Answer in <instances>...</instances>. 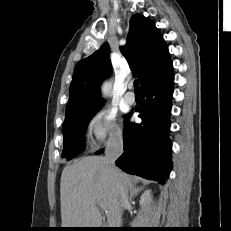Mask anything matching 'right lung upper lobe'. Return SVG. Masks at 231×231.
I'll use <instances>...</instances> for the list:
<instances>
[{
  "instance_id": "cb5924a9",
  "label": "right lung upper lobe",
  "mask_w": 231,
  "mask_h": 231,
  "mask_svg": "<svg viewBox=\"0 0 231 231\" xmlns=\"http://www.w3.org/2000/svg\"><path fill=\"white\" fill-rule=\"evenodd\" d=\"M141 87L173 71L168 47L152 20L141 14L130 19L127 43L120 47ZM110 48L104 43L74 69L66 114L100 106V85L110 75Z\"/></svg>"
}]
</instances>
